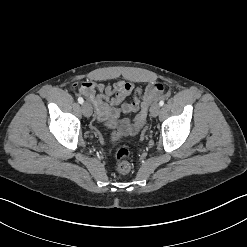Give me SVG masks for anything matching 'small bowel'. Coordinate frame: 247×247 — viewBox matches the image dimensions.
<instances>
[{
	"instance_id": "small-bowel-1",
	"label": "small bowel",
	"mask_w": 247,
	"mask_h": 247,
	"mask_svg": "<svg viewBox=\"0 0 247 247\" xmlns=\"http://www.w3.org/2000/svg\"><path fill=\"white\" fill-rule=\"evenodd\" d=\"M163 90L159 83L149 84L145 89L135 88L127 81H118L112 85L96 81H86L80 86L84 95L95 108L98 120L118 130L120 134H135L144 125L147 110L151 102ZM132 95L130 103L124 100ZM138 112L134 120H119L121 113Z\"/></svg>"
}]
</instances>
